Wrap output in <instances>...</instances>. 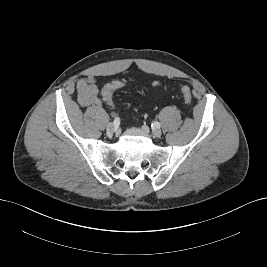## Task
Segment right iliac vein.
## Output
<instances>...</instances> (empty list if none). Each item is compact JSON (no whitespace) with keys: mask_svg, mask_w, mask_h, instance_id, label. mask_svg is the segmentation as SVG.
<instances>
[{"mask_svg":"<svg viewBox=\"0 0 267 267\" xmlns=\"http://www.w3.org/2000/svg\"><path fill=\"white\" fill-rule=\"evenodd\" d=\"M116 126L114 125V123H109L108 125H107V133L109 134V135H112L115 131H116Z\"/></svg>","mask_w":267,"mask_h":267,"instance_id":"1","label":"right iliac vein"}]
</instances>
